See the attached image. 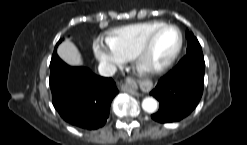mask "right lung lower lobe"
<instances>
[{"instance_id": "right-lung-lower-lobe-1", "label": "right lung lower lobe", "mask_w": 247, "mask_h": 145, "mask_svg": "<svg viewBox=\"0 0 247 145\" xmlns=\"http://www.w3.org/2000/svg\"><path fill=\"white\" fill-rule=\"evenodd\" d=\"M50 88L55 109L68 123L83 128L102 127L118 93L115 82L84 67H70L57 55L50 63Z\"/></svg>"}]
</instances>
